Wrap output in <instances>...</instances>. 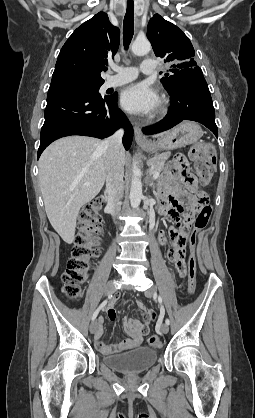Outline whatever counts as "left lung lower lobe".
Instances as JSON below:
<instances>
[{
  "mask_svg": "<svg viewBox=\"0 0 255 418\" xmlns=\"http://www.w3.org/2000/svg\"><path fill=\"white\" fill-rule=\"evenodd\" d=\"M169 95L171 99L169 114L158 124L144 127L142 129L144 134L163 132L184 120H192L205 125L218 137L212 98L203 74L184 79Z\"/></svg>",
  "mask_w": 255,
  "mask_h": 418,
  "instance_id": "1",
  "label": "left lung lower lobe"
}]
</instances>
